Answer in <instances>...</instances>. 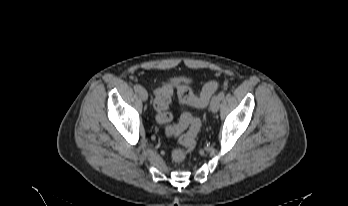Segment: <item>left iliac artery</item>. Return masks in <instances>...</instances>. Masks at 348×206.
<instances>
[{"instance_id": "obj_1", "label": "left iliac artery", "mask_w": 348, "mask_h": 206, "mask_svg": "<svg viewBox=\"0 0 348 206\" xmlns=\"http://www.w3.org/2000/svg\"><path fill=\"white\" fill-rule=\"evenodd\" d=\"M224 96H225V92H224V90H222V91L218 94V97H219L220 100H222V99L224 98Z\"/></svg>"}]
</instances>
